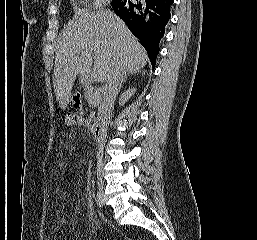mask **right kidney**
<instances>
[{
    "label": "right kidney",
    "instance_id": "ca27d5eb",
    "mask_svg": "<svg viewBox=\"0 0 257 240\" xmlns=\"http://www.w3.org/2000/svg\"><path fill=\"white\" fill-rule=\"evenodd\" d=\"M136 89L133 88V89H128L127 91H125L120 99H119V104L120 105H123L134 93H135Z\"/></svg>",
    "mask_w": 257,
    "mask_h": 240
}]
</instances>
